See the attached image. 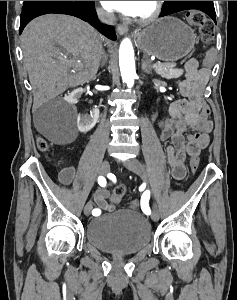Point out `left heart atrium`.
<instances>
[{"label": "left heart atrium", "mask_w": 237, "mask_h": 300, "mask_svg": "<svg viewBox=\"0 0 237 300\" xmlns=\"http://www.w3.org/2000/svg\"><path fill=\"white\" fill-rule=\"evenodd\" d=\"M105 9L134 16L143 1H101Z\"/></svg>", "instance_id": "1"}]
</instances>
